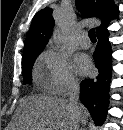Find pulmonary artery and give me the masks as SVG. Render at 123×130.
Instances as JSON below:
<instances>
[{
  "instance_id": "pulmonary-artery-1",
  "label": "pulmonary artery",
  "mask_w": 123,
  "mask_h": 130,
  "mask_svg": "<svg viewBox=\"0 0 123 130\" xmlns=\"http://www.w3.org/2000/svg\"><path fill=\"white\" fill-rule=\"evenodd\" d=\"M79 46L83 49H87L90 47V40L88 39V36L86 33H83L80 35L78 39Z\"/></svg>"
}]
</instances>
